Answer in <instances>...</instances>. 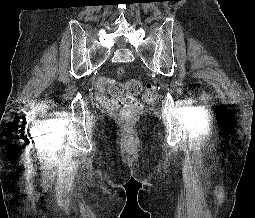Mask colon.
Segmentation results:
<instances>
[{"mask_svg":"<svg viewBox=\"0 0 255 218\" xmlns=\"http://www.w3.org/2000/svg\"><path fill=\"white\" fill-rule=\"evenodd\" d=\"M122 69L119 70L121 72ZM98 87L116 98V103L125 119H131L141 110V105L135 96L142 93L145 102H153L157 97L156 88L148 83L145 86L137 78L129 79L122 83L112 79L102 78L98 81Z\"/></svg>","mask_w":255,"mask_h":218,"instance_id":"colon-1","label":"colon"}]
</instances>
